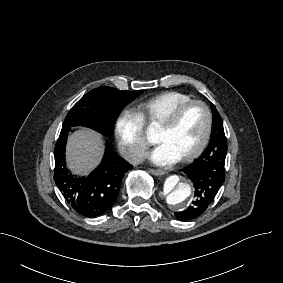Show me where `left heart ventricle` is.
Wrapping results in <instances>:
<instances>
[{
	"label": "left heart ventricle",
	"instance_id": "obj_1",
	"mask_svg": "<svg viewBox=\"0 0 283 283\" xmlns=\"http://www.w3.org/2000/svg\"><path fill=\"white\" fill-rule=\"evenodd\" d=\"M206 127L204 110L198 105L190 106L173 128L166 130L157 125L154 141L166 143L179 158L194 150L202 141Z\"/></svg>",
	"mask_w": 283,
	"mask_h": 283
}]
</instances>
